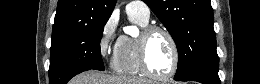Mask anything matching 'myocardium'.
<instances>
[{"label":"myocardium","instance_id":"1","mask_svg":"<svg viewBox=\"0 0 260 84\" xmlns=\"http://www.w3.org/2000/svg\"><path fill=\"white\" fill-rule=\"evenodd\" d=\"M156 32L163 33L168 38L172 48V53H173L172 68L170 72L166 75H160L154 73L151 70L148 63V54H147L148 42L151 36ZM137 48H138V58H139L140 68L146 76H148L151 79L159 80V81H167L175 76V74L179 69V64H180L179 48L174 35L167 28L161 25L145 26L140 36L138 37Z\"/></svg>","mask_w":260,"mask_h":84}]
</instances>
